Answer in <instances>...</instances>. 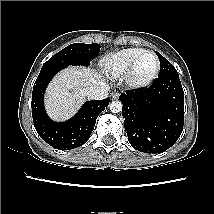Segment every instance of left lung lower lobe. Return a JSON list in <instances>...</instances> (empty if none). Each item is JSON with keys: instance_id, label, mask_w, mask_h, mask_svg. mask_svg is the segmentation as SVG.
Returning <instances> with one entry per match:
<instances>
[{"instance_id": "obj_1", "label": "left lung lower lobe", "mask_w": 214, "mask_h": 214, "mask_svg": "<svg viewBox=\"0 0 214 214\" xmlns=\"http://www.w3.org/2000/svg\"><path fill=\"white\" fill-rule=\"evenodd\" d=\"M130 144L144 153H160L180 137L184 125V92L179 75L158 76L147 89L119 97Z\"/></svg>"}]
</instances>
